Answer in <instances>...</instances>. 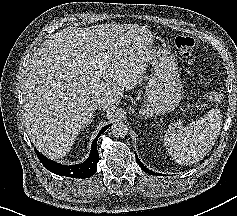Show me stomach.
Returning a JSON list of instances; mask_svg holds the SVG:
<instances>
[{"label":"stomach","instance_id":"1","mask_svg":"<svg viewBox=\"0 0 237 216\" xmlns=\"http://www.w3.org/2000/svg\"><path fill=\"white\" fill-rule=\"evenodd\" d=\"M157 60L161 65H157L156 76L146 89L144 105L140 110V114L146 118L174 111L181 100L179 73L169 53L160 50Z\"/></svg>","mask_w":237,"mask_h":216}]
</instances>
